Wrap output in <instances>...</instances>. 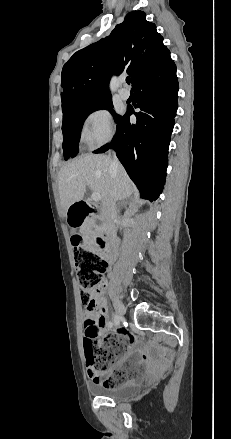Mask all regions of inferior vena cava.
Returning <instances> with one entry per match:
<instances>
[{
    "label": "inferior vena cava",
    "instance_id": "obj_1",
    "mask_svg": "<svg viewBox=\"0 0 231 439\" xmlns=\"http://www.w3.org/2000/svg\"><path fill=\"white\" fill-rule=\"evenodd\" d=\"M119 161L114 154L111 162V169L116 171L119 167ZM102 216L108 231L112 237L115 236V219L117 217L116 202L113 197L108 198L102 206Z\"/></svg>",
    "mask_w": 231,
    "mask_h": 439
}]
</instances>
